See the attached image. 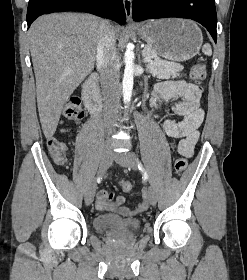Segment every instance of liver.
Here are the masks:
<instances>
[{
	"mask_svg": "<svg viewBox=\"0 0 247 280\" xmlns=\"http://www.w3.org/2000/svg\"><path fill=\"white\" fill-rule=\"evenodd\" d=\"M101 22L89 14L53 13L30 26L37 106L48 139L56 131L64 104L94 69ZM114 30L119 35L120 27Z\"/></svg>",
	"mask_w": 247,
	"mask_h": 280,
	"instance_id": "6515ba94",
	"label": "liver"
}]
</instances>
